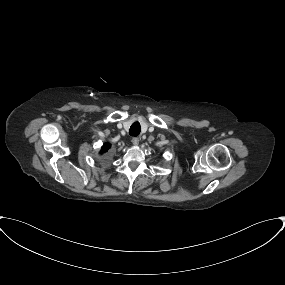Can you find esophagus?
Wrapping results in <instances>:
<instances>
[{
  "mask_svg": "<svg viewBox=\"0 0 285 285\" xmlns=\"http://www.w3.org/2000/svg\"><path fill=\"white\" fill-rule=\"evenodd\" d=\"M132 143H133V145L137 146L139 144V138L138 137H134L132 139Z\"/></svg>",
  "mask_w": 285,
  "mask_h": 285,
  "instance_id": "esophagus-1",
  "label": "esophagus"
}]
</instances>
